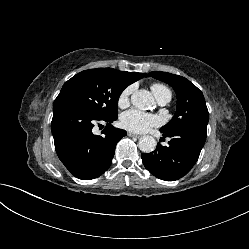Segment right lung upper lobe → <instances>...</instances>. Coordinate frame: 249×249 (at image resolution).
Returning <instances> with one entry per match:
<instances>
[{"mask_svg":"<svg viewBox=\"0 0 249 249\" xmlns=\"http://www.w3.org/2000/svg\"><path fill=\"white\" fill-rule=\"evenodd\" d=\"M109 69L112 70L117 75V77L120 80H122L127 86L143 78L146 75V73L122 72V71L115 70L112 68H109Z\"/></svg>","mask_w":249,"mask_h":249,"instance_id":"cb5924a9","label":"right lung upper lobe"}]
</instances>
